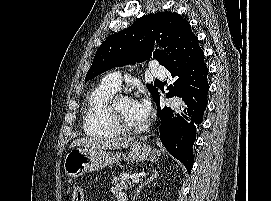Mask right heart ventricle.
Returning <instances> with one entry per match:
<instances>
[{"label":"right heart ventricle","instance_id":"obj_1","mask_svg":"<svg viewBox=\"0 0 271 201\" xmlns=\"http://www.w3.org/2000/svg\"><path fill=\"white\" fill-rule=\"evenodd\" d=\"M114 93V89L100 85L88 95L83 116L84 131L88 136L108 139L121 134L107 112V104Z\"/></svg>","mask_w":271,"mask_h":201}]
</instances>
